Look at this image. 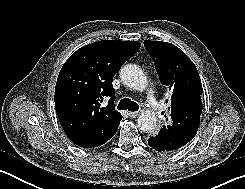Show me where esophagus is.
<instances>
[{"label":"esophagus","mask_w":245,"mask_h":189,"mask_svg":"<svg viewBox=\"0 0 245 189\" xmlns=\"http://www.w3.org/2000/svg\"><path fill=\"white\" fill-rule=\"evenodd\" d=\"M140 114V112H128V115L131 117V118H136L138 117Z\"/></svg>","instance_id":"obj_1"}]
</instances>
